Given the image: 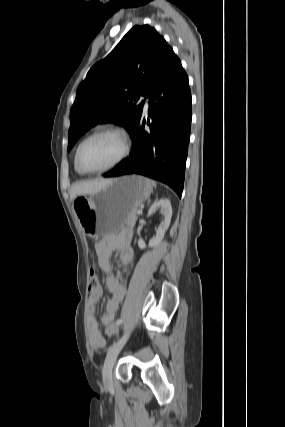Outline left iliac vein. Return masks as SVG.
<instances>
[{"label": "left iliac vein", "mask_w": 285, "mask_h": 427, "mask_svg": "<svg viewBox=\"0 0 285 427\" xmlns=\"http://www.w3.org/2000/svg\"><path fill=\"white\" fill-rule=\"evenodd\" d=\"M127 338H128V334H125L107 352V355H106V358L104 361V365L102 368L103 383H104L105 387H107V388H111L113 385V379H112L113 365L116 361V358H117L119 352L124 347V345L127 341Z\"/></svg>", "instance_id": "1"}]
</instances>
